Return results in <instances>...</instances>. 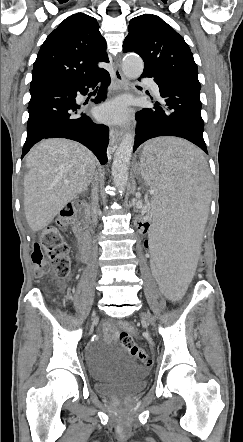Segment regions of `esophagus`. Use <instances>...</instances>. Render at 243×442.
Wrapping results in <instances>:
<instances>
[{
    "label": "esophagus",
    "instance_id": "1",
    "mask_svg": "<svg viewBox=\"0 0 243 442\" xmlns=\"http://www.w3.org/2000/svg\"><path fill=\"white\" fill-rule=\"evenodd\" d=\"M114 79L120 85L126 84V79H125V77L122 73V70H121V62H120L119 57L115 61ZM122 134H123V132L116 127H112L110 129V151L111 152L115 151L117 144L119 143V141L122 138Z\"/></svg>",
    "mask_w": 243,
    "mask_h": 442
}]
</instances>
